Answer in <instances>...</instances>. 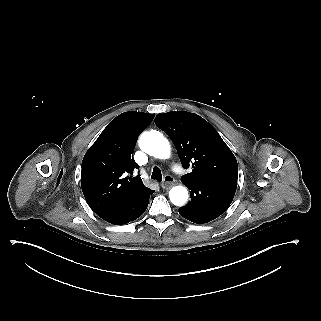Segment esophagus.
Returning a JSON list of instances; mask_svg holds the SVG:
<instances>
[{"instance_id":"esophagus-1","label":"esophagus","mask_w":321,"mask_h":321,"mask_svg":"<svg viewBox=\"0 0 321 321\" xmlns=\"http://www.w3.org/2000/svg\"><path fill=\"white\" fill-rule=\"evenodd\" d=\"M174 185V178L171 175H165L164 181L161 184L163 189H170Z\"/></svg>"}]
</instances>
